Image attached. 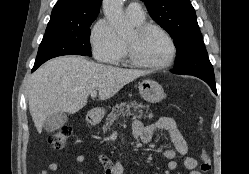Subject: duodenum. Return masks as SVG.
I'll return each mask as SVG.
<instances>
[{"label":"duodenum","instance_id":"obj_1","mask_svg":"<svg viewBox=\"0 0 249 174\" xmlns=\"http://www.w3.org/2000/svg\"><path fill=\"white\" fill-rule=\"evenodd\" d=\"M88 120L91 124H96L98 121L95 113H90L88 116Z\"/></svg>","mask_w":249,"mask_h":174}]
</instances>
